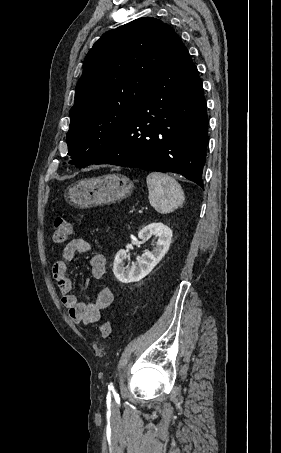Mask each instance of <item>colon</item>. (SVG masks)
I'll list each match as a JSON object with an SVG mask.
<instances>
[{"label": "colon", "instance_id": "5ec220e1", "mask_svg": "<svg viewBox=\"0 0 281 453\" xmlns=\"http://www.w3.org/2000/svg\"><path fill=\"white\" fill-rule=\"evenodd\" d=\"M53 240L57 245H64L71 235V223L66 218H57L53 226ZM113 323L111 320L101 322L99 326V336L107 340L112 337Z\"/></svg>", "mask_w": 281, "mask_h": 453}]
</instances>
